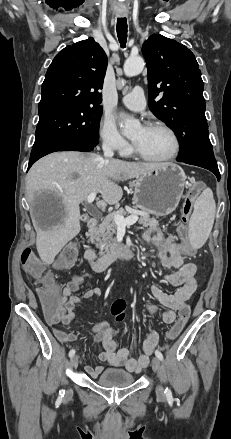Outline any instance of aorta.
Wrapping results in <instances>:
<instances>
[{"instance_id": "762f6f07", "label": "aorta", "mask_w": 231, "mask_h": 439, "mask_svg": "<svg viewBox=\"0 0 231 439\" xmlns=\"http://www.w3.org/2000/svg\"><path fill=\"white\" fill-rule=\"evenodd\" d=\"M144 65L145 63L142 57L140 56L129 57L124 63V73L128 77L135 76L143 70ZM123 119H124V126H123L124 135L127 137L134 135L136 131L139 129L140 123L137 120L130 118L126 115H123Z\"/></svg>"}]
</instances>
